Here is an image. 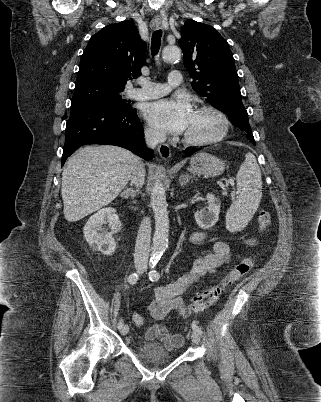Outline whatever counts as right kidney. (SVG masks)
<instances>
[{"label": "right kidney", "instance_id": "obj_1", "mask_svg": "<svg viewBox=\"0 0 321 402\" xmlns=\"http://www.w3.org/2000/svg\"><path fill=\"white\" fill-rule=\"evenodd\" d=\"M107 220L111 232L100 233V225ZM122 227L119 216L116 210L112 207H107L93 214L87 221L83 233L86 241L92 247L104 255H112L116 249V242L113 234L120 231Z\"/></svg>", "mask_w": 321, "mask_h": 402}]
</instances>
